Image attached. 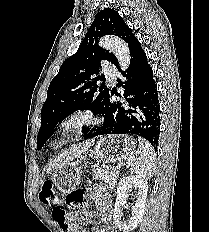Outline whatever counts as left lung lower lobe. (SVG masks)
<instances>
[{
	"label": "left lung lower lobe",
	"mask_w": 209,
	"mask_h": 232,
	"mask_svg": "<svg viewBox=\"0 0 209 232\" xmlns=\"http://www.w3.org/2000/svg\"><path fill=\"white\" fill-rule=\"evenodd\" d=\"M130 49V65L126 71L118 70L125 80H118L124 88L123 103L110 99L102 116L104 122L89 130L85 139L105 134H135L148 140L157 149L160 133V105L153 71L146 53L136 40Z\"/></svg>",
	"instance_id": "left-lung-lower-lobe-1"
}]
</instances>
